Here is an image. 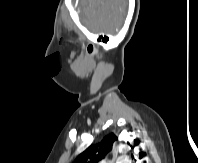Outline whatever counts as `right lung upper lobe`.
<instances>
[{
    "instance_id": "1",
    "label": "right lung upper lobe",
    "mask_w": 198,
    "mask_h": 163,
    "mask_svg": "<svg viewBox=\"0 0 198 163\" xmlns=\"http://www.w3.org/2000/svg\"><path fill=\"white\" fill-rule=\"evenodd\" d=\"M116 140L115 134L107 135L101 142L91 144L84 152L77 156L73 163H100L112 150V145Z\"/></svg>"
}]
</instances>
